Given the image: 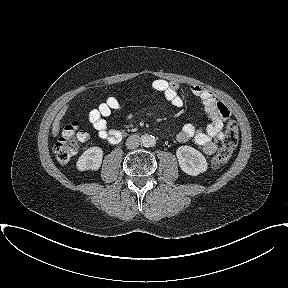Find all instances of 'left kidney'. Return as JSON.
<instances>
[{
	"label": "left kidney",
	"mask_w": 288,
	"mask_h": 288,
	"mask_svg": "<svg viewBox=\"0 0 288 288\" xmlns=\"http://www.w3.org/2000/svg\"><path fill=\"white\" fill-rule=\"evenodd\" d=\"M176 156L180 168L183 172L191 176H197L204 173L208 164L201 152L191 146H181L176 151Z\"/></svg>",
	"instance_id": "obj_1"
}]
</instances>
